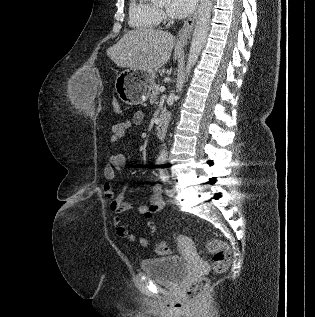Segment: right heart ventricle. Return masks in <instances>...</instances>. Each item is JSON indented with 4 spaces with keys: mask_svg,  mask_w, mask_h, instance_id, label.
Wrapping results in <instances>:
<instances>
[{
    "mask_svg": "<svg viewBox=\"0 0 315 317\" xmlns=\"http://www.w3.org/2000/svg\"><path fill=\"white\" fill-rule=\"evenodd\" d=\"M158 8L150 0L129 1V24L135 29H152L160 23Z\"/></svg>",
    "mask_w": 315,
    "mask_h": 317,
    "instance_id": "obj_1",
    "label": "right heart ventricle"
}]
</instances>
